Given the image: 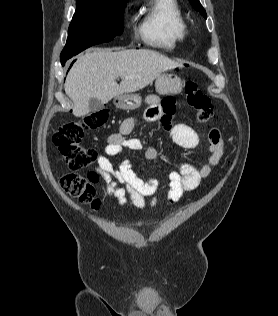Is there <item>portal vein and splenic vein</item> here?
Here are the masks:
<instances>
[{
  "label": "portal vein and splenic vein",
  "instance_id": "portal-vein-and-splenic-vein-1",
  "mask_svg": "<svg viewBox=\"0 0 278 316\" xmlns=\"http://www.w3.org/2000/svg\"><path fill=\"white\" fill-rule=\"evenodd\" d=\"M126 78H127V79H130L131 77H130V76H127Z\"/></svg>",
  "mask_w": 278,
  "mask_h": 316
}]
</instances>
